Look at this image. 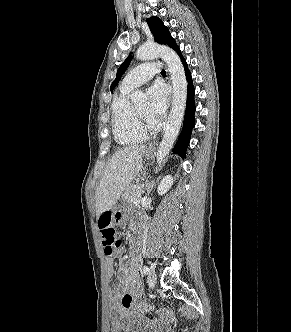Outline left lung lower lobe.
Instances as JSON below:
<instances>
[{
	"instance_id": "0a47b994",
	"label": "left lung lower lobe",
	"mask_w": 291,
	"mask_h": 332,
	"mask_svg": "<svg viewBox=\"0 0 291 332\" xmlns=\"http://www.w3.org/2000/svg\"><path fill=\"white\" fill-rule=\"evenodd\" d=\"M176 52L180 55L182 64L185 69V75L188 82V87H187L188 95H187L186 112L183 121V129L174 147V152L185 157L191 137V132L193 127L195 126V119H194V112L196 110L195 101H194L195 90L192 84L191 73L188 70V64L184 59V57L182 56L180 49L176 50Z\"/></svg>"
}]
</instances>
